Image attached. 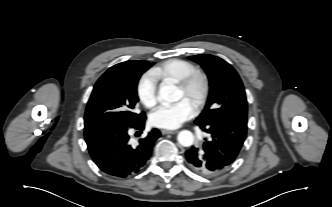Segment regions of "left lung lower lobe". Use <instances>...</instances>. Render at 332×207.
I'll return each instance as SVG.
<instances>
[{"label":"left lung lower lobe","instance_id":"obj_1","mask_svg":"<svg viewBox=\"0 0 332 207\" xmlns=\"http://www.w3.org/2000/svg\"><path fill=\"white\" fill-rule=\"evenodd\" d=\"M209 134L201 147L186 151L189 166L204 175L224 172L237 158L247 135V120L228 119L199 124Z\"/></svg>","mask_w":332,"mask_h":207}]
</instances>
